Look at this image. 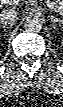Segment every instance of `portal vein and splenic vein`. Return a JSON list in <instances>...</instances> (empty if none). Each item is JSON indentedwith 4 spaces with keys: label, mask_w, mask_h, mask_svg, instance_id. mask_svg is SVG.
Returning <instances> with one entry per match:
<instances>
[{
    "label": "portal vein and splenic vein",
    "mask_w": 63,
    "mask_h": 107,
    "mask_svg": "<svg viewBox=\"0 0 63 107\" xmlns=\"http://www.w3.org/2000/svg\"><path fill=\"white\" fill-rule=\"evenodd\" d=\"M3 3L7 5H13L15 3V0H3ZM45 3L51 10L55 11L56 13L63 14V8L55 7L52 1L46 0Z\"/></svg>",
    "instance_id": "portal-vein-and-splenic-vein-1"
}]
</instances>
